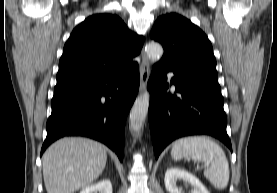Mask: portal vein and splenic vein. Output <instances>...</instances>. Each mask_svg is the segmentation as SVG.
Returning <instances> with one entry per match:
<instances>
[{
    "instance_id": "obj_1",
    "label": "portal vein and splenic vein",
    "mask_w": 277,
    "mask_h": 193,
    "mask_svg": "<svg viewBox=\"0 0 277 193\" xmlns=\"http://www.w3.org/2000/svg\"><path fill=\"white\" fill-rule=\"evenodd\" d=\"M209 165L208 164H205V167H208Z\"/></svg>"
}]
</instances>
